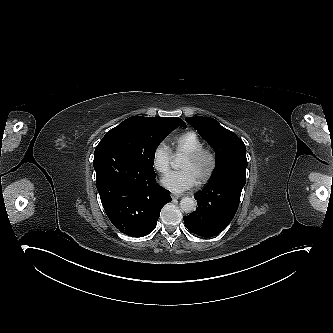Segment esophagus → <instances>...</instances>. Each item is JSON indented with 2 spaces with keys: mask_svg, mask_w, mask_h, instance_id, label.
Listing matches in <instances>:
<instances>
[{
  "mask_svg": "<svg viewBox=\"0 0 333 333\" xmlns=\"http://www.w3.org/2000/svg\"><path fill=\"white\" fill-rule=\"evenodd\" d=\"M171 197H172L173 200H176V199H178L180 197V195H178V194H172Z\"/></svg>",
  "mask_w": 333,
  "mask_h": 333,
  "instance_id": "1",
  "label": "esophagus"
}]
</instances>
